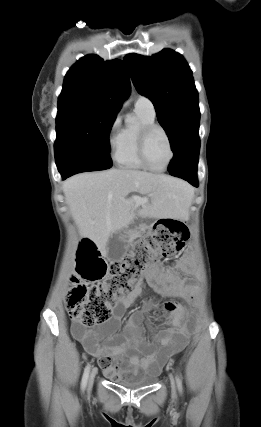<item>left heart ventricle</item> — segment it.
Here are the masks:
<instances>
[{
	"instance_id": "obj_1",
	"label": "left heart ventricle",
	"mask_w": 261,
	"mask_h": 427,
	"mask_svg": "<svg viewBox=\"0 0 261 427\" xmlns=\"http://www.w3.org/2000/svg\"><path fill=\"white\" fill-rule=\"evenodd\" d=\"M170 156L169 146L165 136L160 132H154L147 144V157L150 164L156 168H162Z\"/></svg>"
}]
</instances>
